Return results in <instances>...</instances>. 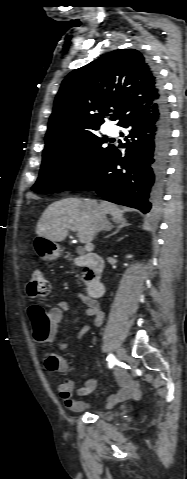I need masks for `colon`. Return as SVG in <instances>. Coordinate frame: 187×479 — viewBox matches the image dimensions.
Returning a JSON list of instances; mask_svg holds the SVG:
<instances>
[{"mask_svg":"<svg viewBox=\"0 0 187 479\" xmlns=\"http://www.w3.org/2000/svg\"><path fill=\"white\" fill-rule=\"evenodd\" d=\"M49 284L41 269H34L27 283V293L30 297H43L48 294ZM44 317H47L43 311Z\"/></svg>","mask_w":187,"mask_h":479,"instance_id":"obj_1","label":"colon"}]
</instances>
